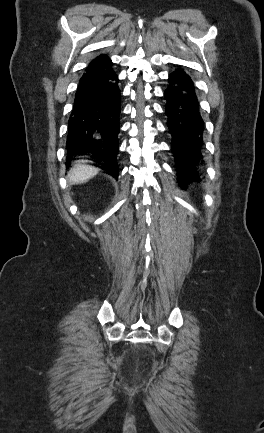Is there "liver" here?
Segmentation results:
<instances>
[{
	"instance_id": "6515ba94",
	"label": "liver",
	"mask_w": 264,
	"mask_h": 433,
	"mask_svg": "<svg viewBox=\"0 0 264 433\" xmlns=\"http://www.w3.org/2000/svg\"><path fill=\"white\" fill-rule=\"evenodd\" d=\"M99 172L98 168L84 165L81 161L76 162L68 174V179L72 183H84L96 176Z\"/></svg>"
}]
</instances>
